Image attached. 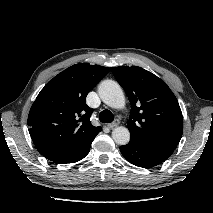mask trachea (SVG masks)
<instances>
[{
	"label": "trachea",
	"mask_w": 213,
	"mask_h": 213,
	"mask_svg": "<svg viewBox=\"0 0 213 213\" xmlns=\"http://www.w3.org/2000/svg\"><path fill=\"white\" fill-rule=\"evenodd\" d=\"M99 120L102 123H111L114 120V115L112 114L111 111L109 110H103L100 114H99Z\"/></svg>",
	"instance_id": "1"
}]
</instances>
